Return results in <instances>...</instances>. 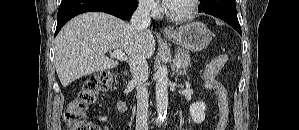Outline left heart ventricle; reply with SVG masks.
<instances>
[{
    "label": "left heart ventricle",
    "instance_id": "b2bd125f",
    "mask_svg": "<svg viewBox=\"0 0 299 130\" xmlns=\"http://www.w3.org/2000/svg\"><path fill=\"white\" fill-rule=\"evenodd\" d=\"M188 3H189V0L175 1L172 4L173 11L178 13V12L185 10L187 8Z\"/></svg>",
    "mask_w": 299,
    "mask_h": 130
}]
</instances>
